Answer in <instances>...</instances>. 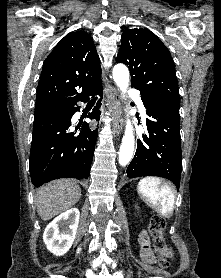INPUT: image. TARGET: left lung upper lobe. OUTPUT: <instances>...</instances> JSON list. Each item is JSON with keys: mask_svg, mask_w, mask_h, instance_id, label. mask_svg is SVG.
I'll return each instance as SVG.
<instances>
[{"mask_svg": "<svg viewBox=\"0 0 221 278\" xmlns=\"http://www.w3.org/2000/svg\"><path fill=\"white\" fill-rule=\"evenodd\" d=\"M116 61L129 66L131 86L141 94L180 106L174 62L154 33L144 28L126 29Z\"/></svg>", "mask_w": 221, "mask_h": 278, "instance_id": "1", "label": "left lung upper lobe"}]
</instances>
